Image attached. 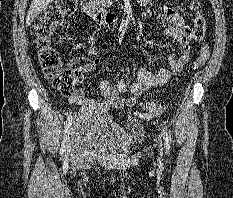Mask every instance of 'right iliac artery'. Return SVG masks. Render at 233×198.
Segmentation results:
<instances>
[{"mask_svg":"<svg viewBox=\"0 0 233 198\" xmlns=\"http://www.w3.org/2000/svg\"><path fill=\"white\" fill-rule=\"evenodd\" d=\"M71 124H72V117H69L68 120L66 121V125H65L64 140H63V143H62V146L60 149L61 155H64V153L68 147L69 131H70Z\"/></svg>","mask_w":233,"mask_h":198,"instance_id":"right-iliac-artery-1","label":"right iliac artery"}]
</instances>
